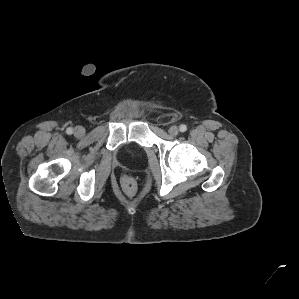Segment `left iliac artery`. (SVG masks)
<instances>
[{"label": "left iliac artery", "mask_w": 299, "mask_h": 299, "mask_svg": "<svg viewBox=\"0 0 299 299\" xmlns=\"http://www.w3.org/2000/svg\"><path fill=\"white\" fill-rule=\"evenodd\" d=\"M179 129L181 132H185L187 130V126L182 124V125H180Z\"/></svg>", "instance_id": "1"}]
</instances>
